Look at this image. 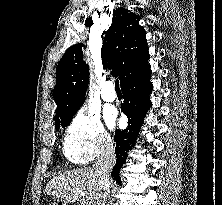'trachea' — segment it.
<instances>
[{
	"label": "trachea",
	"mask_w": 222,
	"mask_h": 205,
	"mask_svg": "<svg viewBox=\"0 0 222 205\" xmlns=\"http://www.w3.org/2000/svg\"><path fill=\"white\" fill-rule=\"evenodd\" d=\"M115 89L120 90L119 81L118 79L115 81Z\"/></svg>",
	"instance_id": "trachea-1"
}]
</instances>
